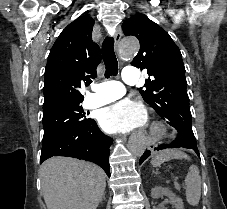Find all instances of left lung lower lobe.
Masks as SVG:
<instances>
[{
    "label": "left lung lower lobe",
    "mask_w": 227,
    "mask_h": 209,
    "mask_svg": "<svg viewBox=\"0 0 227 209\" xmlns=\"http://www.w3.org/2000/svg\"><path fill=\"white\" fill-rule=\"evenodd\" d=\"M181 147L193 149L196 152V154L200 157L196 143L189 140L181 139L179 135H177L176 139L172 143L162 144L159 147L155 148V150H162L166 148H181ZM149 155H150V151L149 150L145 151L143 156L140 158L139 164H141Z\"/></svg>",
    "instance_id": "0a47b994"
}]
</instances>
